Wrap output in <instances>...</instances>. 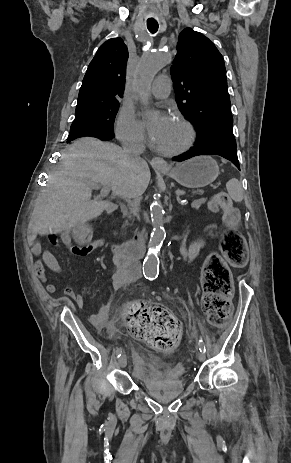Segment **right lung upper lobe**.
<instances>
[{
  "label": "right lung upper lobe",
  "mask_w": 291,
  "mask_h": 463,
  "mask_svg": "<svg viewBox=\"0 0 291 463\" xmlns=\"http://www.w3.org/2000/svg\"><path fill=\"white\" fill-rule=\"evenodd\" d=\"M128 56L121 38L109 39L99 47L82 81L76 116L118 102L123 96Z\"/></svg>",
  "instance_id": "1"
}]
</instances>
